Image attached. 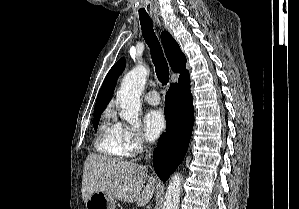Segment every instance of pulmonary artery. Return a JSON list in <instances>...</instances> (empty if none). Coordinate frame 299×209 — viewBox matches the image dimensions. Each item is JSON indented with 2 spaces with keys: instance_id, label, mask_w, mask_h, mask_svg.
Returning <instances> with one entry per match:
<instances>
[{
  "instance_id": "1",
  "label": "pulmonary artery",
  "mask_w": 299,
  "mask_h": 209,
  "mask_svg": "<svg viewBox=\"0 0 299 209\" xmlns=\"http://www.w3.org/2000/svg\"><path fill=\"white\" fill-rule=\"evenodd\" d=\"M144 99L151 105H157L161 101L160 96L156 90H150L149 92H147L144 96Z\"/></svg>"
}]
</instances>
